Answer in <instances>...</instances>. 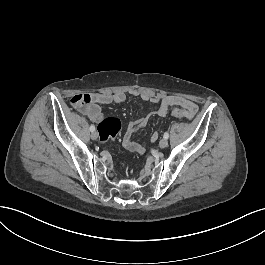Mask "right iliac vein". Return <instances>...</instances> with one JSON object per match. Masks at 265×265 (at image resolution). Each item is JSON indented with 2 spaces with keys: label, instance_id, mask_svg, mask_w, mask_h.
I'll return each mask as SVG.
<instances>
[{
  "label": "right iliac vein",
  "instance_id": "63e3f726",
  "mask_svg": "<svg viewBox=\"0 0 265 265\" xmlns=\"http://www.w3.org/2000/svg\"><path fill=\"white\" fill-rule=\"evenodd\" d=\"M98 133L96 132V131H93L92 133H91V138L93 139V140H97L98 139Z\"/></svg>",
  "mask_w": 265,
  "mask_h": 265
}]
</instances>
